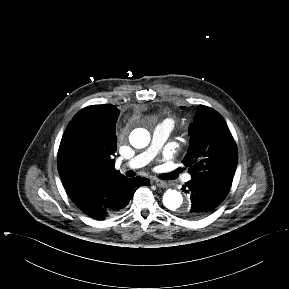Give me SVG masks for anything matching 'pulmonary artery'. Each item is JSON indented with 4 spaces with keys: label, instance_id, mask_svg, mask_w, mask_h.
<instances>
[{
    "label": "pulmonary artery",
    "instance_id": "pulmonary-artery-1",
    "mask_svg": "<svg viewBox=\"0 0 289 289\" xmlns=\"http://www.w3.org/2000/svg\"><path fill=\"white\" fill-rule=\"evenodd\" d=\"M172 128L173 125L169 120H164L157 124L152 133V139L149 147L129 160L125 166L131 169H136L147 165L160 151L171 133ZM190 179V175L187 174L184 176L185 181H189Z\"/></svg>",
    "mask_w": 289,
    "mask_h": 289
}]
</instances>
